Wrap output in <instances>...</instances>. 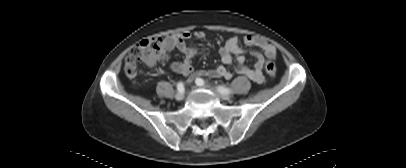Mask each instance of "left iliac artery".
Segmentation results:
<instances>
[{
    "mask_svg": "<svg viewBox=\"0 0 406 168\" xmlns=\"http://www.w3.org/2000/svg\"><path fill=\"white\" fill-rule=\"evenodd\" d=\"M195 83L198 86H204V84H205V82H204V80L202 78H197L195 80ZM216 89H217L218 92H220L222 94H230L231 93V90L229 88H227V87H224V86H216Z\"/></svg>",
    "mask_w": 406,
    "mask_h": 168,
    "instance_id": "left-iliac-artery-1",
    "label": "left iliac artery"
}]
</instances>
